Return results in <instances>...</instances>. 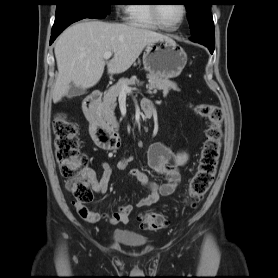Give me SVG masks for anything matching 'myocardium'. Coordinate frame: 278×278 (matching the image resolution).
<instances>
[{
  "mask_svg": "<svg viewBox=\"0 0 278 278\" xmlns=\"http://www.w3.org/2000/svg\"><path fill=\"white\" fill-rule=\"evenodd\" d=\"M181 6H182L181 19L179 20V22L177 24H175L173 26L166 25L165 23H163L161 21L159 14H158V5H156V4H152L150 6L151 17H152L154 23L158 27L165 29V30H169V31L176 30L183 24V22L185 21L186 16H187V6L185 4H181Z\"/></svg>",
  "mask_w": 278,
  "mask_h": 278,
  "instance_id": "obj_1",
  "label": "myocardium"
}]
</instances>
